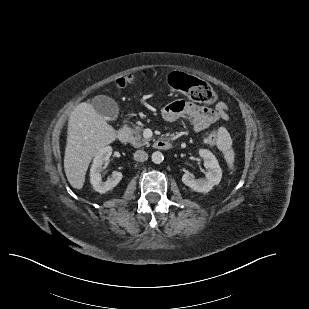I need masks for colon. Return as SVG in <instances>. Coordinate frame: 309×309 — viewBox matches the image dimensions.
<instances>
[{
	"mask_svg": "<svg viewBox=\"0 0 309 309\" xmlns=\"http://www.w3.org/2000/svg\"><path fill=\"white\" fill-rule=\"evenodd\" d=\"M133 81L132 76L120 78L117 84L124 88ZM168 85L173 90L188 95L192 100L202 104H213L216 101V93L204 81L182 72H174L168 78ZM216 136L211 134L207 137L208 144H214Z\"/></svg>",
	"mask_w": 309,
	"mask_h": 309,
	"instance_id": "5ec220e1",
	"label": "colon"
}]
</instances>
